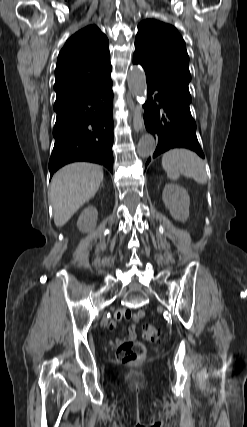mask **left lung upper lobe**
Listing matches in <instances>:
<instances>
[{
	"mask_svg": "<svg viewBox=\"0 0 247 427\" xmlns=\"http://www.w3.org/2000/svg\"><path fill=\"white\" fill-rule=\"evenodd\" d=\"M133 63L142 65L146 80L191 103L189 56L174 26L155 19L142 21L135 38Z\"/></svg>",
	"mask_w": 247,
	"mask_h": 427,
	"instance_id": "obj_1",
	"label": "left lung upper lobe"
}]
</instances>
